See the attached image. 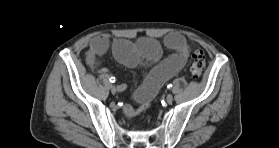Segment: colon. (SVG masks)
<instances>
[{"instance_id":"5ec220e1","label":"colon","mask_w":279,"mask_h":148,"mask_svg":"<svg viewBox=\"0 0 279 148\" xmlns=\"http://www.w3.org/2000/svg\"><path fill=\"white\" fill-rule=\"evenodd\" d=\"M205 69V55L203 51L196 50L193 54V62L191 65V75L193 79H199Z\"/></svg>"}]
</instances>
